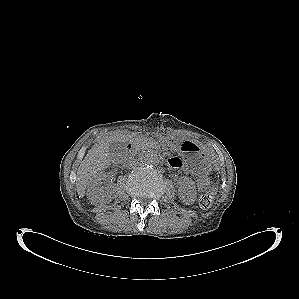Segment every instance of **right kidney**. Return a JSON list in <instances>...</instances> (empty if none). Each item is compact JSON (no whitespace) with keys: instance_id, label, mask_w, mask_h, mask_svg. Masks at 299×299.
Instances as JSON below:
<instances>
[{"instance_id":"right-kidney-1","label":"right kidney","mask_w":299,"mask_h":299,"mask_svg":"<svg viewBox=\"0 0 299 299\" xmlns=\"http://www.w3.org/2000/svg\"><path fill=\"white\" fill-rule=\"evenodd\" d=\"M106 179L104 172L97 173L88 183L87 198L91 204L109 203L115 196L114 186H102L101 181Z\"/></svg>"}]
</instances>
